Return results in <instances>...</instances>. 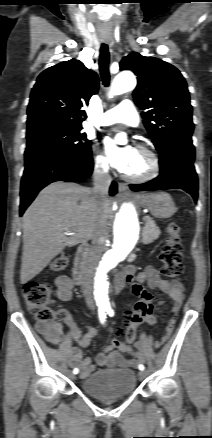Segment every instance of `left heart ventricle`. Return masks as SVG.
<instances>
[{"label":"left heart ventricle","instance_id":"left-heart-ventricle-1","mask_svg":"<svg viewBox=\"0 0 212 438\" xmlns=\"http://www.w3.org/2000/svg\"><path fill=\"white\" fill-rule=\"evenodd\" d=\"M150 168V159L148 156L138 150L124 173L132 176H141L148 172Z\"/></svg>","mask_w":212,"mask_h":438}]
</instances>
